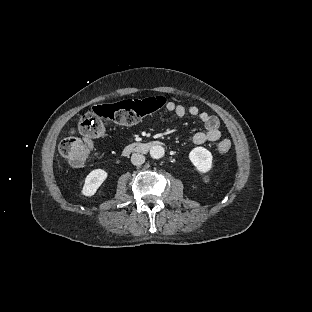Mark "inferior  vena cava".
<instances>
[{"mask_svg":"<svg viewBox=\"0 0 312 312\" xmlns=\"http://www.w3.org/2000/svg\"><path fill=\"white\" fill-rule=\"evenodd\" d=\"M131 162L133 165H142L145 162V156L140 153H134L131 157Z\"/></svg>","mask_w":312,"mask_h":312,"instance_id":"obj_1","label":"inferior vena cava"}]
</instances>
